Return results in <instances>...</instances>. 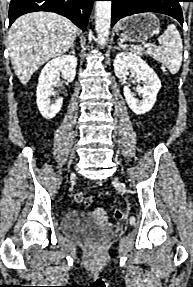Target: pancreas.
Masks as SVG:
<instances>
[{"instance_id": "obj_1", "label": "pancreas", "mask_w": 193, "mask_h": 287, "mask_svg": "<svg viewBox=\"0 0 193 287\" xmlns=\"http://www.w3.org/2000/svg\"><path fill=\"white\" fill-rule=\"evenodd\" d=\"M137 54L139 55H144L145 54V51L142 49V48H137L134 50Z\"/></svg>"}]
</instances>
